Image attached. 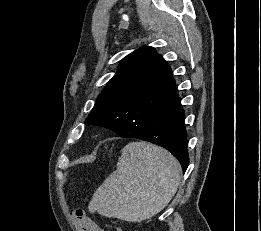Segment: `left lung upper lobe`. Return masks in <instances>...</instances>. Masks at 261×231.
Wrapping results in <instances>:
<instances>
[{"label": "left lung upper lobe", "mask_w": 261, "mask_h": 231, "mask_svg": "<svg viewBox=\"0 0 261 231\" xmlns=\"http://www.w3.org/2000/svg\"><path fill=\"white\" fill-rule=\"evenodd\" d=\"M178 95L170 66L153 47L127 55L85 120L120 136L141 134Z\"/></svg>", "instance_id": "1"}]
</instances>
